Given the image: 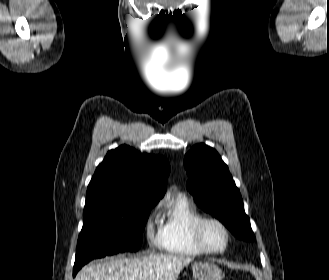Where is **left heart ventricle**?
Masks as SVG:
<instances>
[{
    "instance_id": "left-heart-ventricle-1",
    "label": "left heart ventricle",
    "mask_w": 329,
    "mask_h": 280,
    "mask_svg": "<svg viewBox=\"0 0 329 280\" xmlns=\"http://www.w3.org/2000/svg\"><path fill=\"white\" fill-rule=\"evenodd\" d=\"M204 240L206 244L213 249H220L225 244V234L216 224H208L204 229Z\"/></svg>"
}]
</instances>
